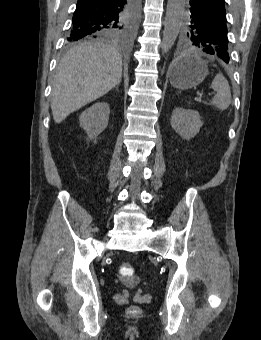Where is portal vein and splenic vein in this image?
<instances>
[{"label":"portal vein and splenic vein","instance_id":"18ae733b","mask_svg":"<svg viewBox=\"0 0 261 340\" xmlns=\"http://www.w3.org/2000/svg\"><path fill=\"white\" fill-rule=\"evenodd\" d=\"M210 95H215V92H211Z\"/></svg>","mask_w":261,"mask_h":340}]
</instances>
